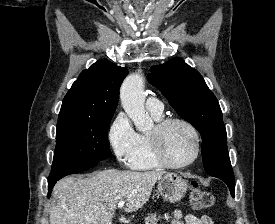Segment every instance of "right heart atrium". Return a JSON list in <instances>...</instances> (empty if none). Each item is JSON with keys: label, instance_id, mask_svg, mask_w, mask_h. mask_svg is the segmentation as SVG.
<instances>
[{"label": "right heart atrium", "instance_id": "d8ad5b80", "mask_svg": "<svg viewBox=\"0 0 275 224\" xmlns=\"http://www.w3.org/2000/svg\"><path fill=\"white\" fill-rule=\"evenodd\" d=\"M138 134L124 113H119L108 132L111 149L120 162H128L137 146Z\"/></svg>", "mask_w": 275, "mask_h": 224}]
</instances>
